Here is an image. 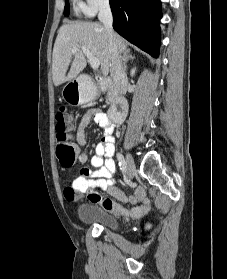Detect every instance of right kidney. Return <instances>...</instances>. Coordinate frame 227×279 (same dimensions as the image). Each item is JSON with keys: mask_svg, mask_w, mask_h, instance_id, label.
<instances>
[{"mask_svg": "<svg viewBox=\"0 0 227 279\" xmlns=\"http://www.w3.org/2000/svg\"><path fill=\"white\" fill-rule=\"evenodd\" d=\"M135 71H136V68H133V69L131 70V76H133V75L135 74Z\"/></svg>", "mask_w": 227, "mask_h": 279, "instance_id": "1", "label": "right kidney"}]
</instances>
